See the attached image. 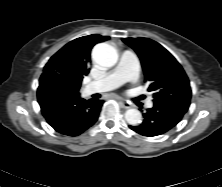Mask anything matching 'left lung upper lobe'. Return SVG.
Masks as SVG:
<instances>
[{
	"mask_svg": "<svg viewBox=\"0 0 222 187\" xmlns=\"http://www.w3.org/2000/svg\"><path fill=\"white\" fill-rule=\"evenodd\" d=\"M140 58L148 91L156 99L164 95L191 93L189 79L179 62L162 45L149 38H124Z\"/></svg>",
	"mask_w": 222,
	"mask_h": 187,
	"instance_id": "5c2ea615",
	"label": "left lung upper lobe"
}]
</instances>
